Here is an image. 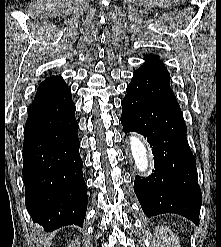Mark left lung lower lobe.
<instances>
[{
  "mask_svg": "<svg viewBox=\"0 0 221 247\" xmlns=\"http://www.w3.org/2000/svg\"><path fill=\"white\" fill-rule=\"evenodd\" d=\"M126 92L121 115L124 131L147 138L154 155L153 173L146 179L136 176L134 182L143 212L148 218L175 213L199 225L201 190L180 107L142 94L131 83Z\"/></svg>",
  "mask_w": 221,
  "mask_h": 247,
  "instance_id": "obj_1",
  "label": "left lung lower lobe"
}]
</instances>
